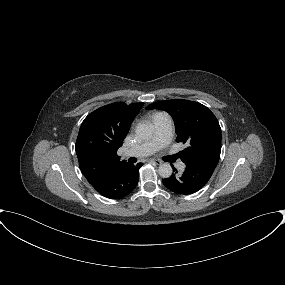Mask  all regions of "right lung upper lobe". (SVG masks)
I'll list each match as a JSON object with an SVG mask.
<instances>
[{"instance_id":"cb5924a9","label":"right lung upper lobe","mask_w":285,"mask_h":285,"mask_svg":"<svg viewBox=\"0 0 285 285\" xmlns=\"http://www.w3.org/2000/svg\"><path fill=\"white\" fill-rule=\"evenodd\" d=\"M143 105L116 102L93 111L84 119L75 149L80 169L89 183L127 164L125 160L120 161L117 150Z\"/></svg>"}]
</instances>
